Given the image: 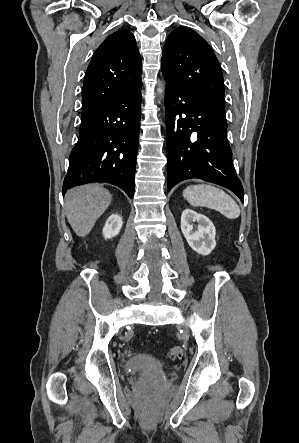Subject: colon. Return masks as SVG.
I'll use <instances>...</instances> for the list:
<instances>
[{
    "mask_svg": "<svg viewBox=\"0 0 299 443\" xmlns=\"http://www.w3.org/2000/svg\"><path fill=\"white\" fill-rule=\"evenodd\" d=\"M183 356V349L181 346H174L168 352L170 359H180Z\"/></svg>",
    "mask_w": 299,
    "mask_h": 443,
    "instance_id": "colon-1",
    "label": "colon"
}]
</instances>
